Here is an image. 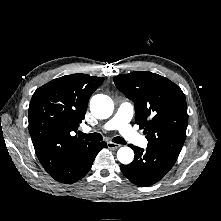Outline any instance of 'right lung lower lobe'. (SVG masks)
I'll list each match as a JSON object with an SVG mask.
<instances>
[{
  "label": "right lung lower lobe",
  "instance_id": "98d812e1",
  "mask_svg": "<svg viewBox=\"0 0 221 221\" xmlns=\"http://www.w3.org/2000/svg\"><path fill=\"white\" fill-rule=\"evenodd\" d=\"M103 147H107L105 142H101L100 144L91 143L77 157L55 167L48 173L59 182H75L88 173L96 155Z\"/></svg>",
  "mask_w": 221,
  "mask_h": 221
}]
</instances>
